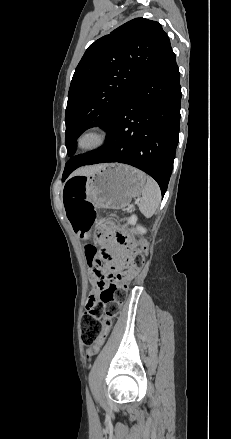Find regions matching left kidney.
Returning <instances> with one entry per match:
<instances>
[{"instance_id":"obj_1","label":"left kidney","mask_w":231,"mask_h":439,"mask_svg":"<svg viewBox=\"0 0 231 439\" xmlns=\"http://www.w3.org/2000/svg\"><path fill=\"white\" fill-rule=\"evenodd\" d=\"M136 222H137V217L135 216V215H132L129 219H128V223L130 224V225H136ZM133 231L134 232H136V231H138L139 233H141V234H144V233H146V229L145 228H143L142 226H139V225H137L136 226V229H133Z\"/></svg>"}]
</instances>
